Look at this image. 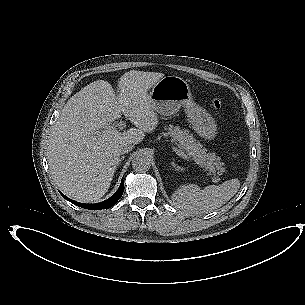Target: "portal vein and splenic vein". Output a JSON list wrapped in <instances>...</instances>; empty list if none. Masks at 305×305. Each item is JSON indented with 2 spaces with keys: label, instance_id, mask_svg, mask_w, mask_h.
Here are the masks:
<instances>
[{
  "label": "portal vein and splenic vein",
  "instance_id": "18ae733b",
  "mask_svg": "<svg viewBox=\"0 0 305 305\" xmlns=\"http://www.w3.org/2000/svg\"><path fill=\"white\" fill-rule=\"evenodd\" d=\"M117 126H118V128H123L124 126H125V122L124 121H120L118 124H117ZM106 131H104V132H108L109 130H112L113 129V127H111V126H106ZM174 151H175V153L177 154V155H179L180 157H182V158H185L186 157V155L184 154V152H182V151H180V150H178L176 147H173L172 148Z\"/></svg>",
  "mask_w": 305,
  "mask_h": 305
}]
</instances>
